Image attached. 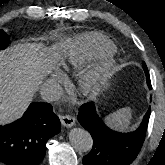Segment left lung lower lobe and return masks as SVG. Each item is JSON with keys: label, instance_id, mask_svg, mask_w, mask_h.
<instances>
[{"label": "left lung lower lobe", "instance_id": "1", "mask_svg": "<svg viewBox=\"0 0 165 165\" xmlns=\"http://www.w3.org/2000/svg\"><path fill=\"white\" fill-rule=\"evenodd\" d=\"M151 89V86H149ZM150 110L139 128L130 133H119L108 128L97 115L93 102L83 104L78 113L79 123L93 138L92 150L83 157L84 165H130L144 142Z\"/></svg>", "mask_w": 165, "mask_h": 165}]
</instances>
